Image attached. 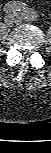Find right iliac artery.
<instances>
[{"label": "right iliac artery", "mask_w": 51, "mask_h": 153, "mask_svg": "<svg viewBox=\"0 0 51 153\" xmlns=\"http://www.w3.org/2000/svg\"><path fill=\"white\" fill-rule=\"evenodd\" d=\"M27 8V5L20 1H11L5 4L3 11L6 14H10L12 12L23 11Z\"/></svg>", "instance_id": "1"}]
</instances>
